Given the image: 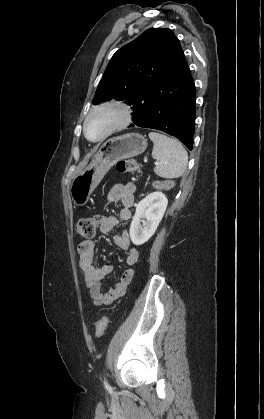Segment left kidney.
<instances>
[{
  "mask_svg": "<svg viewBox=\"0 0 264 419\" xmlns=\"http://www.w3.org/2000/svg\"><path fill=\"white\" fill-rule=\"evenodd\" d=\"M168 205V199L162 192H153L141 200L130 225V238L133 244L142 245L155 233ZM146 221L140 224L141 219Z\"/></svg>",
  "mask_w": 264,
  "mask_h": 419,
  "instance_id": "left-kidney-1",
  "label": "left kidney"
}]
</instances>
